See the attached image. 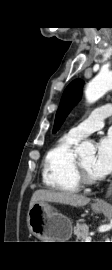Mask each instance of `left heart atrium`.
<instances>
[{
  "label": "left heart atrium",
  "instance_id": "1",
  "mask_svg": "<svg viewBox=\"0 0 112 270\" xmlns=\"http://www.w3.org/2000/svg\"><path fill=\"white\" fill-rule=\"evenodd\" d=\"M92 172L97 178H102L112 172V133L99 140L97 153L92 163Z\"/></svg>",
  "mask_w": 112,
  "mask_h": 270
}]
</instances>
